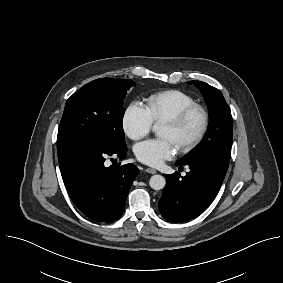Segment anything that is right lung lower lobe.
<instances>
[{"label": "right lung lower lobe", "instance_id": "right-lung-lower-lobe-1", "mask_svg": "<svg viewBox=\"0 0 283 283\" xmlns=\"http://www.w3.org/2000/svg\"><path fill=\"white\" fill-rule=\"evenodd\" d=\"M127 146H106L99 142L77 143L58 154L68 193L89 218L109 222L123 213L130 187L139 173L134 164L107 167L108 156L122 160Z\"/></svg>", "mask_w": 283, "mask_h": 283}]
</instances>
